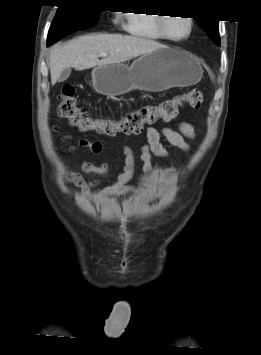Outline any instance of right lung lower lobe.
<instances>
[{"instance_id":"obj_1","label":"right lung lower lobe","mask_w":261,"mask_h":355,"mask_svg":"<svg viewBox=\"0 0 261 355\" xmlns=\"http://www.w3.org/2000/svg\"><path fill=\"white\" fill-rule=\"evenodd\" d=\"M59 39H60V38H59ZM59 39L47 41V45L50 46V45H52L54 42L58 41Z\"/></svg>"}]
</instances>
